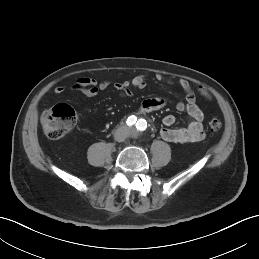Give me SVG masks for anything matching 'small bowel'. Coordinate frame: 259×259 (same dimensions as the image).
Masks as SVG:
<instances>
[{"mask_svg":"<svg viewBox=\"0 0 259 259\" xmlns=\"http://www.w3.org/2000/svg\"><path fill=\"white\" fill-rule=\"evenodd\" d=\"M146 75L140 74L131 80H125L115 84V89L122 96H130L131 89H142L146 86ZM158 81L167 82L179 86L185 94V102H178L176 109L180 112H186L189 116L188 126L185 128H171L176 119L173 115H166L163 118L164 128L160 130V136L163 140L172 143H191L198 142L204 139L205 131L203 128L204 114L196 101L195 91L189 81L185 79H170L162 74H156ZM110 86L108 80L98 81L93 77L78 78L72 85L71 90L80 91L88 97L96 96L100 92L107 90ZM65 88L62 86L55 87L51 93L61 95ZM200 94L205 98H209V93L206 89L201 88ZM165 106V101L162 98H148L142 101L138 112L140 114H147L153 111L162 109Z\"/></svg>","mask_w":259,"mask_h":259,"instance_id":"small-bowel-1","label":"small bowel"}]
</instances>
